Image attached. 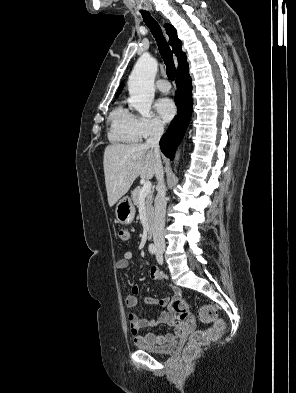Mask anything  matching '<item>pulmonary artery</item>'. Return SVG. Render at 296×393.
Masks as SVG:
<instances>
[{
  "mask_svg": "<svg viewBox=\"0 0 296 393\" xmlns=\"http://www.w3.org/2000/svg\"><path fill=\"white\" fill-rule=\"evenodd\" d=\"M156 87H157V89H158L159 91H161V92H163V93H167V92H169L170 89H171V85H170L169 81L166 80V79H159V80L156 82Z\"/></svg>",
  "mask_w": 296,
  "mask_h": 393,
  "instance_id": "pulmonary-artery-1",
  "label": "pulmonary artery"
}]
</instances>
